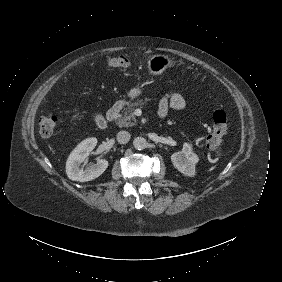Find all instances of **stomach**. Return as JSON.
<instances>
[{"label": "stomach", "mask_w": 282, "mask_h": 282, "mask_svg": "<svg viewBox=\"0 0 282 282\" xmlns=\"http://www.w3.org/2000/svg\"><path fill=\"white\" fill-rule=\"evenodd\" d=\"M147 65H148V70L150 74L160 75L168 67H171L172 65H174V61L166 55L157 54L149 58ZM141 93H142V90L139 87H137V88L131 89L128 92V96L131 99H134L138 97Z\"/></svg>", "instance_id": "1"}]
</instances>
